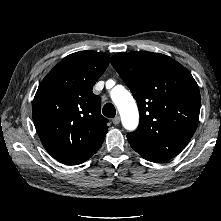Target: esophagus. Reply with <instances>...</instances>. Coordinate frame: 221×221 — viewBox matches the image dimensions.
Wrapping results in <instances>:
<instances>
[{
    "instance_id": "obj_1",
    "label": "esophagus",
    "mask_w": 221,
    "mask_h": 221,
    "mask_svg": "<svg viewBox=\"0 0 221 221\" xmlns=\"http://www.w3.org/2000/svg\"><path fill=\"white\" fill-rule=\"evenodd\" d=\"M112 122L113 124L118 125L120 123V117L116 116L115 118H113Z\"/></svg>"
}]
</instances>
